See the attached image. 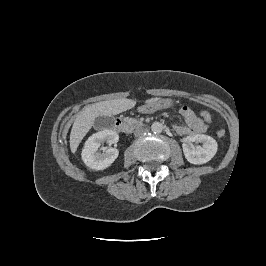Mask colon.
<instances>
[{"mask_svg":"<svg viewBox=\"0 0 266 266\" xmlns=\"http://www.w3.org/2000/svg\"><path fill=\"white\" fill-rule=\"evenodd\" d=\"M200 118L206 123L211 122L213 119L211 113L208 111H201L200 112ZM217 135H218V137H223L225 135V130H223V129L218 130Z\"/></svg>","mask_w":266,"mask_h":266,"instance_id":"colon-1","label":"colon"}]
</instances>
